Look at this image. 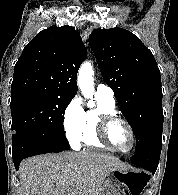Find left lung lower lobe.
I'll list each match as a JSON object with an SVG mask.
<instances>
[{
    "instance_id": "left-lung-lower-lobe-1",
    "label": "left lung lower lobe",
    "mask_w": 178,
    "mask_h": 195,
    "mask_svg": "<svg viewBox=\"0 0 178 195\" xmlns=\"http://www.w3.org/2000/svg\"><path fill=\"white\" fill-rule=\"evenodd\" d=\"M161 148L162 145H159L136 152L130 160L133 164L154 174L159 163Z\"/></svg>"
}]
</instances>
